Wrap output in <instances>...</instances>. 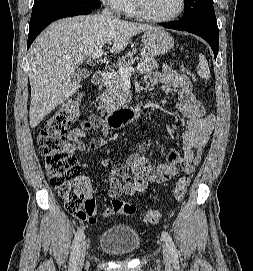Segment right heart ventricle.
<instances>
[{
    "label": "right heart ventricle",
    "instance_id": "1",
    "mask_svg": "<svg viewBox=\"0 0 253 271\" xmlns=\"http://www.w3.org/2000/svg\"><path fill=\"white\" fill-rule=\"evenodd\" d=\"M124 11L129 16H135L136 15V9H135V5H134L133 0H127L126 5L124 7Z\"/></svg>",
    "mask_w": 253,
    "mask_h": 271
}]
</instances>
